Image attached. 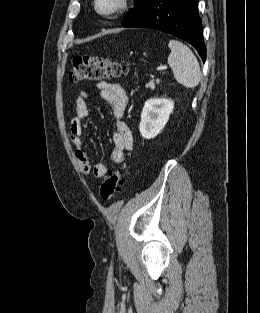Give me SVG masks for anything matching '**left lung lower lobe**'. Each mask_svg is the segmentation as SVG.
I'll return each mask as SVG.
<instances>
[{
	"mask_svg": "<svg viewBox=\"0 0 260 313\" xmlns=\"http://www.w3.org/2000/svg\"><path fill=\"white\" fill-rule=\"evenodd\" d=\"M198 0H151L124 27H146L177 36L190 43L206 60L202 21L198 15Z\"/></svg>",
	"mask_w": 260,
	"mask_h": 313,
	"instance_id": "left-lung-lower-lobe-1",
	"label": "left lung lower lobe"
}]
</instances>
